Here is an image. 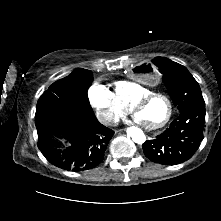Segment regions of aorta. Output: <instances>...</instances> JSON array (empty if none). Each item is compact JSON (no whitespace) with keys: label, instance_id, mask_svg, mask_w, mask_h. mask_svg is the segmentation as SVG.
Returning <instances> with one entry per match:
<instances>
[{"label":"aorta","instance_id":"1","mask_svg":"<svg viewBox=\"0 0 221 221\" xmlns=\"http://www.w3.org/2000/svg\"><path fill=\"white\" fill-rule=\"evenodd\" d=\"M127 136H129L133 142L142 144L146 141V136L143 131L135 126L127 128Z\"/></svg>","mask_w":221,"mask_h":221}]
</instances>
